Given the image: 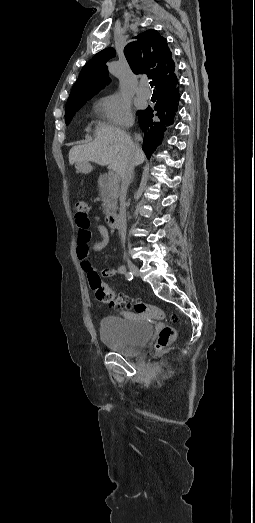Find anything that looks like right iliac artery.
<instances>
[{"label":"right iliac artery","instance_id":"1","mask_svg":"<svg viewBox=\"0 0 255 523\" xmlns=\"http://www.w3.org/2000/svg\"><path fill=\"white\" fill-rule=\"evenodd\" d=\"M125 276H126V279H127V280H132V279H133V273H132V272H128V273H126Z\"/></svg>","mask_w":255,"mask_h":523}]
</instances>
